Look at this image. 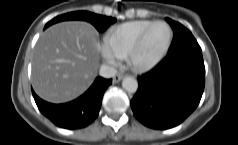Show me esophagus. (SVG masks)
Here are the masks:
<instances>
[{
  "mask_svg": "<svg viewBox=\"0 0 238 145\" xmlns=\"http://www.w3.org/2000/svg\"><path fill=\"white\" fill-rule=\"evenodd\" d=\"M124 78V75L123 74H117L113 77V82L114 83H117L119 82L120 80H122Z\"/></svg>",
  "mask_w": 238,
  "mask_h": 145,
  "instance_id": "esophagus-1",
  "label": "esophagus"
}]
</instances>
